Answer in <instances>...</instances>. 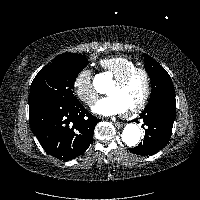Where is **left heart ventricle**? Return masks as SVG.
<instances>
[{
    "label": "left heart ventricle",
    "mask_w": 200,
    "mask_h": 200,
    "mask_svg": "<svg viewBox=\"0 0 200 200\" xmlns=\"http://www.w3.org/2000/svg\"><path fill=\"white\" fill-rule=\"evenodd\" d=\"M145 92V78L138 74L131 78L125 85L115 87L111 85L107 93L118 101L123 111L134 107L143 97Z\"/></svg>",
    "instance_id": "1"
}]
</instances>
